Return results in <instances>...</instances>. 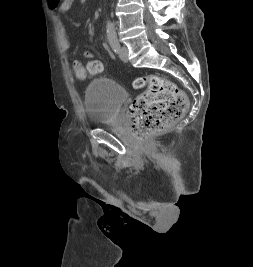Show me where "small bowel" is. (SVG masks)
<instances>
[{
  "mask_svg": "<svg viewBox=\"0 0 253 267\" xmlns=\"http://www.w3.org/2000/svg\"><path fill=\"white\" fill-rule=\"evenodd\" d=\"M75 0H47L49 7L55 12L58 28H59V41L63 50L70 48V42L68 40L66 29L62 21V15L70 10Z\"/></svg>",
  "mask_w": 253,
  "mask_h": 267,
  "instance_id": "obj_1",
  "label": "small bowel"
}]
</instances>
